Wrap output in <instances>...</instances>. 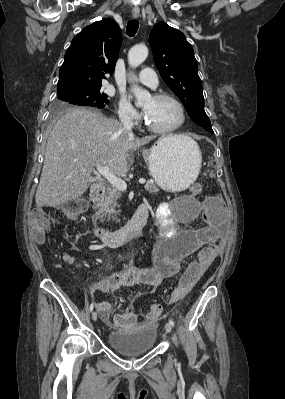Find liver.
<instances>
[{
  "label": "liver",
  "mask_w": 285,
  "mask_h": 399,
  "mask_svg": "<svg viewBox=\"0 0 285 399\" xmlns=\"http://www.w3.org/2000/svg\"><path fill=\"white\" fill-rule=\"evenodd\" d=\"M153 139L137 138L99 112L70 109L50 132L35 195L37 206L55 207L83 195L93 181L94 167L109 166L114 175H124L133 163L130 152Z\"/></svg>",
  "instance_id": "1"
}]
</instances>
